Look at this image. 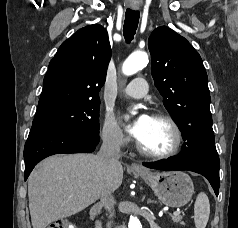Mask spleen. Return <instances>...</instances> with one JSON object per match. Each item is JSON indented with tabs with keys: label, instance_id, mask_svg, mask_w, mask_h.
Masks as SVG:
<instances>
[{
	"label": "spleen",
	"instance_id": "3e777b00",
	"mask_svg": "<svg viewBox=\"0 0 238 228\" xmlns=\"http://www.w3.org/2000/svg\"><path fill=\"white\" fill-rule=\"evenodd\" d=\"M210 215V203L207 195L201 192L194 204V223L196 228H205Z\"/></svg>",
	"mask_w": 238,
	"mask_h": 228
}]
</instances>
